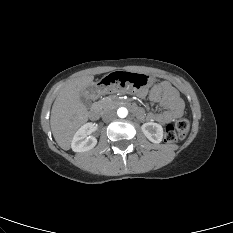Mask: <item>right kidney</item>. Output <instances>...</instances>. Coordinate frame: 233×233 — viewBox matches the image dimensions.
<instances>
[{
  "mask_svg": "<svg viewBox=\"0 0 233 233\" xmlns=\"http://www.w3.org/2000/svg\"><path fill=\"white\" fill-rule=\"evenodd\" d=\"M94 129L95 124L93 123H86L78 129L71 142V148L74 152H85L95 147L97 139L88 136Z\"/></svg>",
  "mask_w": 233,
  "mask_h": 233,
  "instance_id": "right-kidney-1",
  "label": "right kidney"
}]
</instances>
